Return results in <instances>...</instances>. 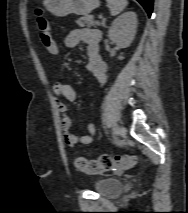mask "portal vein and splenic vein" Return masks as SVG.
I'll return each mask as SVG.
<instances>
[{
  "instance_id": "obj_1",
  "label": "portal vein and splenic vein",
  "mask_w": 188,
  "mask_h": 213,
  "mask_svg": "<svg viewBox=\"0 0 188 213\" xmlns=\"http://www.w3.org/2000/svg\"><path fill=\"white\" fill-rule=\"evenodd\" d=\"M96 22H97L98 25H100V22H99V21H96Z\"/></svg>"
}]
</instances>
